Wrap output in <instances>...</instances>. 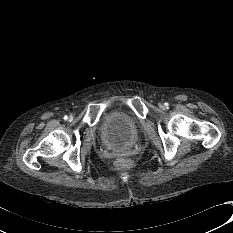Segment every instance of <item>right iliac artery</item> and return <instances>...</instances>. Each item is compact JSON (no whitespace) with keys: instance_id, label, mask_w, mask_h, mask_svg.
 <instances>
[{"instance_id":"82829eb1","label":"right iliac artery","mask_w":233,"mask_h":233,"mask_svg":"<svg viewBox=\"0 0 233 233\" xmlns=\"http://www.w3.org/2000/svg\"><path fill=\"white\" fill-rule=\"evenodd\" d=\"M63 118H64V120H67V119H68V116L65 115Z\"/></svg>"}]
</instances>
